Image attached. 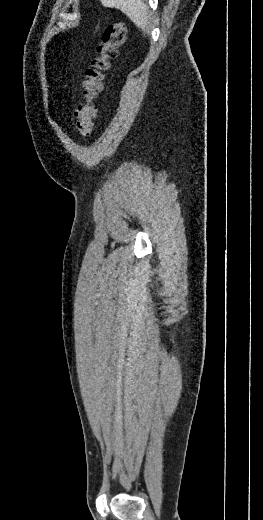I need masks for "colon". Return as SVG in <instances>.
<instances>
[{"label": "colon", "instance_id": "5ec220e1", "mask_svg": "<svg viewBox=\"0 0 263 520\" xmlns=\"http://www.w3.org/2000/svg\"><path fill=\"white\" fill-rule=\"evenodd\" d=\"M126 38V27L122 22L107 23L102 40L98 46V55L92 59L86 70L83 82L85 101L75 110L77 131L85 139L89 138L94 130L96 116L95 99L102 89L103 74L108 70L110 61L118 54L119 47Z\"/></svg>", "mask_w": 263, "mask_h": 520}]
</instances>
